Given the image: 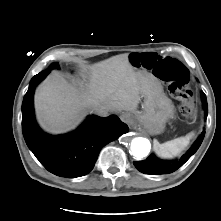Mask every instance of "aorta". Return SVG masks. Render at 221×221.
Listing matches in <instances>:
<instances>
[{
  "mask_svg": "<svg viewBox=\"0 0 221 221\" xmlns=\"http://www.w3.org/2000/svg\"><path fill=\"white\" fill-rule=\"evenodd\" d=\"M132 154L137 158L146 157L150 152V142L146 138L136 137L131 141Z\"/></svg>",
  "mask_w": 221,
  "mask_h": 221,
  "instance_id": "1",
  "label": "aorta"
}]
</instances>
